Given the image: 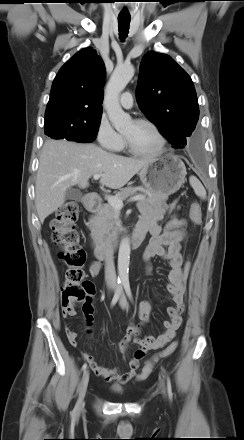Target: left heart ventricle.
Returning <instances> with one entry per match:
<instances>
[{
    "label": "left heart ventricle",
    "mask_w": 244,
    "mask_h": 440,
    "mask_svg": "<svg viewBox=\"0 0 244 440\" xmlns=\"http://www.w3.org/2000/svg\"><path fill=\"white\" fill-rule=\"evenodd\" d=\"M132 144L140 151L152 152L159 146V139L152 128L131 122L123 131Z\"/></svg>",
    "instance_id": "obj_1"
}]
</instances>
